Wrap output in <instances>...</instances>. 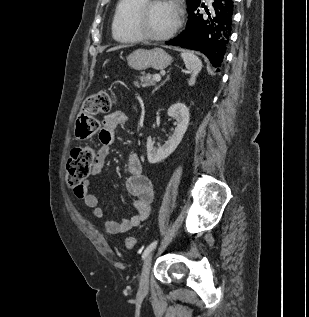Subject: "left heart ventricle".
Listing matches in <instances>:
<instances>
[{
	"label": "left heart ventricle",
	"instance_id": "obj_1",
	"mask_svg": "<svg viewBox=\"0 0 309 317\" xmlns=\"http://www.w3.org/2000/svg\"><path fill=\"white\" fill-rule=\"evenodd\" d=\"M176 19L175 7L171 3L162 2L151 8L145 17L144 26L149 33L162 35L172 29Z\"/></svg>",
	"mask_w": 309,
	"mask_h": 317
}]
</instances>
